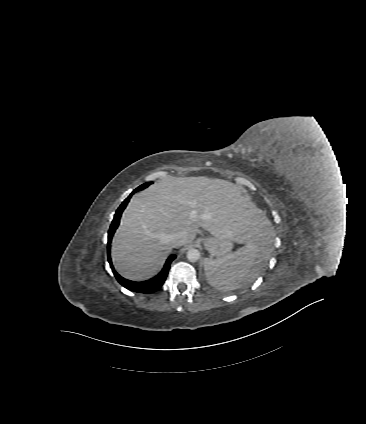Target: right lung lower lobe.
<instances>
[{
  "label": "right lung lower lobe",
  "mask_w": 366,
  "mask_h": 424,
  "mask_svg": "<svg viewBox=\"0 0 366 424\" xmlns=\"http://www.w3.org/2000/svg\"><path fill=\"white\" fill-rule=\"evenodd\" d=\"M137 190H138V188H136L130 194V196L124 200V202L120 205V207L116 211V214L114 216V219L112 221V224H111L110 229H109V232H108V245H107L108 261L110 263V266L112 268V271H113L116 279L125 288H127V289H129L131 291H134V292L152 293V292H155L156 290H158L162 286V284L164 283V281H165V279L167 277V274H168V270L170 268V263L176 258L175 255H171L168 258V260H167V262H166L163 270L156 277H154L151 280L144 281V282H139V283L138 282H134V281H130V280H127V279H124L123 277H121L115 271V269H114V267L112 265V262H111V258H110V243H111V240H112V236H113L116 228L119 225L121 214H122L123 210L125 209V207H126L128 201H129L130 197L135 192H137Z\"/></svg>",
  "instance_id": "98d812e1"
}]
</instances>
